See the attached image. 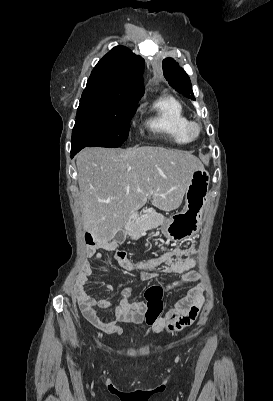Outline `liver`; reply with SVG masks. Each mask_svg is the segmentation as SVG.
I'll use <instances>...</instances> for the list:
<instances>
[{
  "label": "liver",
  "instance_id": "6515ba94",
  "mask_svg": "<svg viewBox=\"0 0 273 401\" xmlns=\"http://www.w3.org/2000/svg\"><path fill=\"white\" fill-rule=\"evenodd\" d=\"M76 164L83 229L96 243L114 239L147 198L160 211L178 209L192 170L203 168L192 152L163 146L83 148Z\"/></svg>",
  "mask_w": 273,
  "mask_h": 401
}]
</instances>
